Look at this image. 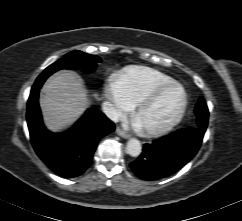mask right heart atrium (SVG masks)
<instances>
[{
    "instance_id": "d8ad5b80",
    "label": "right heart atrium",
    "mask_w": 242,
    "mask_h": 221,
    "mask_svg": "<svg viewBox=\"0 0 242 221\" xmlns=\"http://www.w3.org/2000/svg\"><path fill=\"white\" fill-rule=\"evenodd\" d=\"M105 96L112 103V109L109 113L112 119L121 117L124 113L130 111L132 108V105L122 94L115 81H111L106 85Z\"/></svg>"
}]
</instances>
